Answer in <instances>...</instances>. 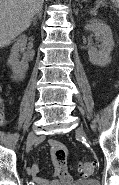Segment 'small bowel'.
<instances>
[{"label": "small bowel", "mask_w": 119, "mask_h": 185, "mask_svg": "<svg viewBox=\"0 0 119 185\" xmlns=\"http://www.w3.org/2000/svg\"><path fill=\"white\" fill-rule=\"evenodd\" d=\"M51 147V159L54 166V172L50 179L38 176L39 166L34 163L27 168V173L32 176L36 185H58V179L64 182H69L71 176L67 168L68 151L63 143L55 139L48 141Z\"/></svg>", "instance_id": "c3829d8e"}]
</instances>
